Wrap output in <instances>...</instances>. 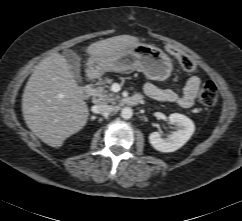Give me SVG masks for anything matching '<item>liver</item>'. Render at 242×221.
I'll return each mask as SVG.
<instances>
[{"label":"liver","mask_w":242,"mask_h":221,"mask_svg":"<svg viewBox=\"0 0 242 221\" xmlns=\"http://www.w3.org/2000/svg\"><path fill=\"white\" fill-rule=\"evenodd\" d=\"M138 38L119 35L90 44L91 56L119 55ZM22 112L28 128L44 143L59 148L64 140L87 123L89 110L63 55L52 53L30 76L22 96Z\"/></svg>","instance_id":"1"}]
</instances>
